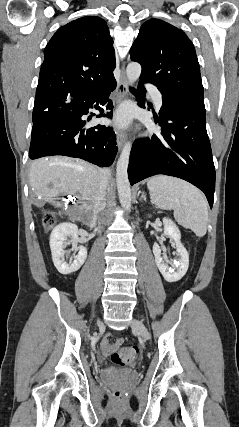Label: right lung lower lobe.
Returning <instances> with one entry per match:
<instances>
[{"label":"right lung lower lobe","instance_id":"98d812e1","mask_svg":"<svg viewBox=\"0 0 239 427\" xmlns=\"http://www.w3.org/2000/svg\"><path fill=\"white\" fill-rule=\"evenodd\" d=\"M116 88L115 78L94 89H81L58 94L33 122L29 150L31 159L51 155L78 157L98 166L113 163L118 148L111 127L86 125L83 115L93 106L100 112L96 117H111L113 108L109 94ZM105 105L106 108L93 105ZM95 116V114H93Z\"/></svg>","mask_w":239,"mask_h":427}]
</instances>
